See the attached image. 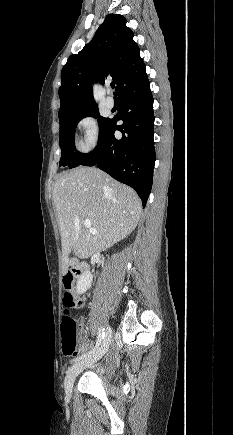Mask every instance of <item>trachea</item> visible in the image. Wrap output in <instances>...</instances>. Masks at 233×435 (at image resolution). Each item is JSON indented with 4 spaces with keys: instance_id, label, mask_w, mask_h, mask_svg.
Wrapping results in <instances>:
<instances>
[{
    "instance_id": "trachea-1",
    "label": "trachea",
    "mask_w": 233,
    "mask_h": 435,
    "mask_svg": "<svg viewBox=\"0 0 233 435\" xmlns=\"http://www.w3.org/2000/svg\"><path fill=\"white\" fill-rule=\"evenodd\" d=\"M111 87L114 88L115 87V82H111Z\"/></svg>"
}]
</instances>
